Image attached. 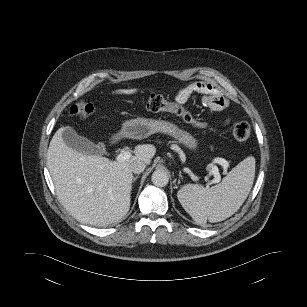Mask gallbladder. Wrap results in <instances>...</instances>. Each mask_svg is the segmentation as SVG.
Masks as SVG:
<instances>
[{
    "label": "gallbladder",
    "instance_id": "gallbladder-1",
    "mask_svg": "<svg viewBox=\"0 0 307 307\" xmlns=\"http://www.w3.org/2000/svg\"><path fill=\"white\" fill-rule=\"evenodd\" d=\"M62 138L65 144L77 152L87 155H103L106 150L103 145H96L87 138L80 136L70 126H66L62 131Z\"/></svg>",
    "mask_w": 307,
    "mask_h": 307
}]
</instances>
